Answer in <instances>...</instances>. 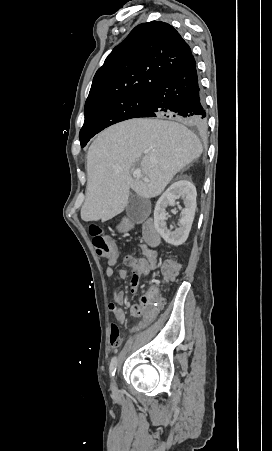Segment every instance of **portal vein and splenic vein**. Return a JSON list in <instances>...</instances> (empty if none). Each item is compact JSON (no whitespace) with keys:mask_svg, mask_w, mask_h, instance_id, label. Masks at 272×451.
I'll use <instances>...</instances> for the list:
<instances>
[{"mask_svg":"<svg viewBox=\"0 0 272 451\" xmlns=\"http://www.w3.org/2000/svg\"><path fill=\"white\" fill-rule=\"evenodd\" d=\"M132 176L133 178H136V180H144V182H149L148 178H144L141 170H134Z\"/></svg>","mask_w":272,"mask_h":451,"instance_id":"1","label":"portal vein and splenic vein"}]
</instances>
